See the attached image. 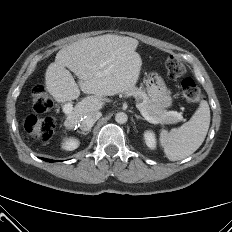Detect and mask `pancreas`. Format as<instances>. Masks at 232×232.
I'll use <instances>...</instances> for the list:
<instances>
[{
	"instance_id": "pancreas-1",
	"label": "pancreas",
	"mask_w": 232,
	"mask_h": 232,
	"mask_svg": "<svg viewBox=\"0 0 232 232\" xmlns=\"http://www.w3.org/2000/svg\"><path fill=\"white\" fill-rule=\"evenodd\" d=\"M128 96H134L141 101V106L148 112V114L160 121L162 124H172L180 120V118L173 114H168V112L161 108L158 104L154 103L140 88H130L122 92Z\"/></svg>"
}]
</instances>
